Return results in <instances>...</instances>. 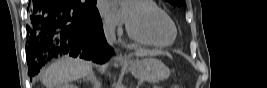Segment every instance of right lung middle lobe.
I'll list each match as a JSON object with an SVG mask.
<instances>
[{
	"label": "right lung middle lobe",
	"instance_id": "right-lung-middle-lobe-1",
	"mask_svg": "<svg viewBox=\"0 0 267 88\" xmlns=\"http://www.w3.org/2000/svg\"><path fill=\"white\" fill-rule=\"evenodd\" d=\"M74 4L80 7H96V0H86L85 3H81L80 0H72Z\"/></svg>",
	"mask_w": 267,
	"mask_h": 88
}]
</instances>
